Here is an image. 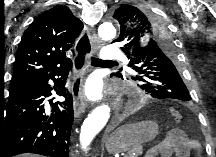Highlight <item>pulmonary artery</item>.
Returning a JSON list of instances; mask_svg holds the SVG:
<instances>
[{
	"mask_svg": "<svg viewBox=\"0 0 216 157\" xmlns=\"http://www.w3.org/2000/svg\"><path fill=\"white\" fill-rule=\"evenodd\" d=\"M123 56L122 52L114 45L106 46L100 54L103 61H114Z\"/></svg>",
	"mask_w": 216,
	"mask_h": 157,
	"instance_id": "1",
	"label": "pulmonary artery"
}]
</instances>
